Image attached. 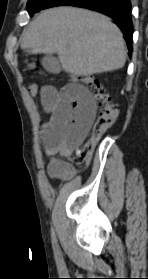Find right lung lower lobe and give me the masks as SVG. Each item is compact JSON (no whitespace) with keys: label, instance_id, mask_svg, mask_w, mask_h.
Returning a JSON list of instances; mask_svg holds the SVG:
<instances>
[{"label":"right lung lower lobe","instance_id":"right-lung-lower-lobe-1","mask_svg":"<svg viewBox=\"0 0 148 279\" xmlns=\"http://www.w3.org/2000/svg\"><path fill=\"white\" fill-rule=\"evenodd\" d=\"M62 5L87 8L114 19L125 36L131 54L133 25L130 0H48L42 9Z\"/></svg>","mask_w":148,"mask_h":279}]
</instances>
